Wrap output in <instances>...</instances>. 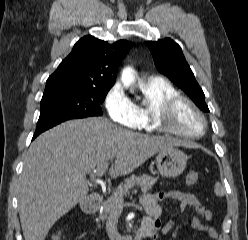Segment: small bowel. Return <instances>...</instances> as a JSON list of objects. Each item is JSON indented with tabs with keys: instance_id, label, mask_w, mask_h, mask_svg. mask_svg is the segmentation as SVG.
Listing matches in <instances>:
<instances>
[{
	"instance_id": "obj_1",
	"label": "small bowel",
	"mask_w": 248,
	"mask_h": 240,
	"mask_svg": "<svg viewBox=\"0 0 248 240\" xmlns=\"http://www.w3.org/2000/svg\"><path fill=\"white\" fill-rule=\"evenodd\" d=\"M166 200L179 202L181 209L192 207L198 215L192 222L193 228L206 232L213 239H218L217 231L206 223L212 219V212L203 206L196 196L181 191H160L156 194H142L139 198L146 211L143 221L152 224L149 236L151 240H156L160 231L164 234L170 232L174 225L173 220L163 225L160 219L162 214L160 203Z\"/></svg>"
}]
</instances>
